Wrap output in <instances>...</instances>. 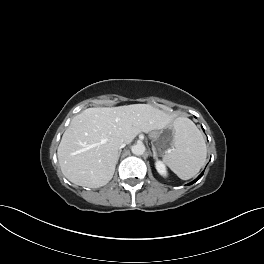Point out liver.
Returning a JSON list of instances; mask_svg holds the SVG:
<instances>
[{
  "label": "liver",
  "mask_w": 264,
  "mask_h": 264,
  "mask_svg": "<svg viewBox=\"0 0 264 264\" xmlns=\"http://www.w3.org/2000/svg\"><path fill=\"white\" fill-rule=\"evenodd\" d=\"M173 117L148 104L88 108L76 115L57 149L63 175L90 188L113 177L120 141L129 144L141 132L165 128Z\"/></svg>",
  "instance_id": "obj_1"
}]
</instances>
